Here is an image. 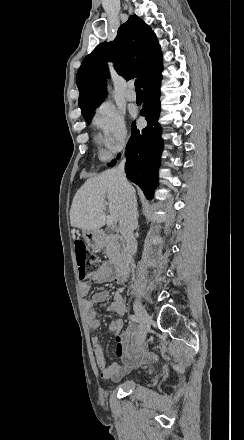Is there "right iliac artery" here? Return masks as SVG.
<instances>
[{
	"label": "right iliac artery",
	"instance_id": "82829eb1",
	"mask_svg": "<svg viewBox=\"0 0 244 440\" xmlns=\"http://www.w3.org/2000/svg\"><path fill=\"white\" fill-rule=\"evenodd\" d=\"M130 320L135 322V323H140L139 317L137 315H134V314L130 315Z\"/></svg>",
	"mask_w": 244,
	"mask_h": 440
}]
</instances>
